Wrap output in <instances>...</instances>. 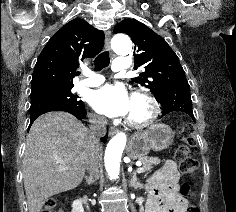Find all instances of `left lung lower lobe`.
Instances as JSON below:
<instances>
[{
    "label": "left lung lower lobe",
    "instance_id": "left-lung-lower-lobe-1",
    "mask_svg": "<svg viewBox=\"0 0 236 212\" xmlns=\"http://www.w3.org/2000/svg\"><path fill=\"white\" fill-rule=\"evenodd\" d=\"M156 100L162 105V116L173 111H181L188 114L195 121L192 111L190 86L187 80L170 86L164 91L163 95Z\"/></svg>",
    "mask_w": 236,
    "mask_h": 212
}]
</instances>
